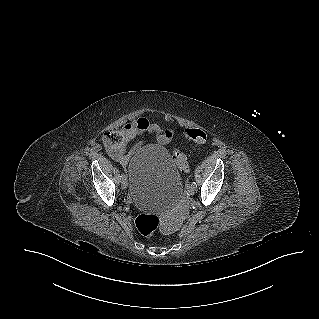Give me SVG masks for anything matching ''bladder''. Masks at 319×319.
<instances>
[{
	"label": "bladder",
	"mask_w": 319,
	"mask_h": 319,
	"mask_svg": "<svg viewBox=\"0 0 319 319\" xmlns=\"http://www.w3.org/2000/svg\"><path fill=\"white\" fill-rule=\"evenodd\" d=\"M127 175L137 208L163 212L180 195V172L169 151L161 145L149 144L138 149L127 164Z\"/></svg>",
	"instance_id": "1"
}]
</instances>
